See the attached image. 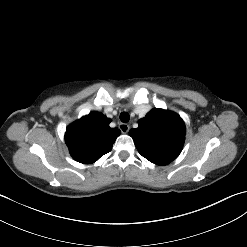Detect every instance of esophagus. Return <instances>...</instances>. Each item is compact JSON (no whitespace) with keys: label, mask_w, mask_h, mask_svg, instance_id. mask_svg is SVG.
Instances as JSON below:
<instances>
[{"label":"esophagus","mask_w":247,"mask_h":247,"mask_svg":"<svg viewBox=\"0 0 247 247\" xmlns=\"http://www.w3.org/2000/svg\"><path fill=\"white\" fill-rule=\"evenodd\" d=\"M119 129L121 130L122 133L126 134L130 130V126L126 123H120Z\"/></svg>","instance_id":"esophagus-1"}]
</instances>
